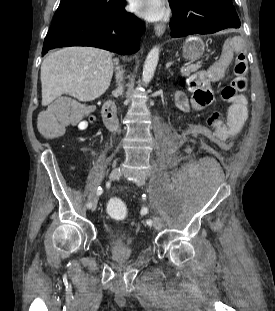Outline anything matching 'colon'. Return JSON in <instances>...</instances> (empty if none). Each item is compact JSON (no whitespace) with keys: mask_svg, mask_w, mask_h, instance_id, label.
Instances as JSON below:
<instances>
[{"mask_svg":"<svg viewBox=\"0 0 275 311\" xmlns=\"http://www.w3.org/2000/svg\"><path fill=\"white\" fill-rule=\"evenodd\" d=\"M234 73L235 77L221 91L223 101H233L246 89L247 62L245 57H236ZM78 121L79 114L74 110L73 103L70 100H59L39 116V129L46 137H56L62 133L64 127ZM107 210L111 216L116 218H123L127 211L125 204L116 198L108 201Z\"/></svg>","mask_w":275,"mask_h":311,"instance_id":"5ec220e1","label":"colon"}]
</instances>
